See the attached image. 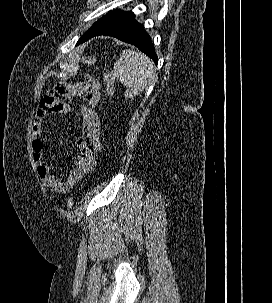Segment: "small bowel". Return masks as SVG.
Listing matches in <instances>:
<instances>
[{
    "label": "small bowel",
    "instance_id": "c3829d8e",
    "mask_svg": "<svg viewBox=\"0 0 272 303\" xmlns=\"http://www.w3.org/2000/svg\"><path fill=\"white\" fill-rule=\"evenodd\" d=\"M82 97L88 105H81V132L75 140L77 153L71 157L73 164L65 177L53 173L46 163L43 140L44 120L54 114H64L70 109L68 101ZM101 101V87L92 79L69 84L59 83L48 91L36 110L32 129V155L37 173L44 186L58 194H65L95 168V155L100 149V116L96 108Z\"/></svg>",
    "mask_w": 272,
    "mask_h": 303
}]
</instances>
